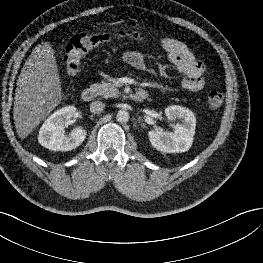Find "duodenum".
<instances>
[{
    "instance_id": "duodenum-1",
    "label": "duodenum",
    "mask_w": 263,
    "mask_h": 263,
    "mask_svg": "<svg viewBox=\"0 0 263 263\" xmlns=\"http://www.w3.org/2000/svg\"><path fill=\"white\" fill-rule=\"evenodd\" d=\"M148 97V93L144 90H137L132 94V99L136 102H142ZM84 102H91L95 98V90L92 87L85 88L81 93Z\"/></svg>"
}]
</instances>
